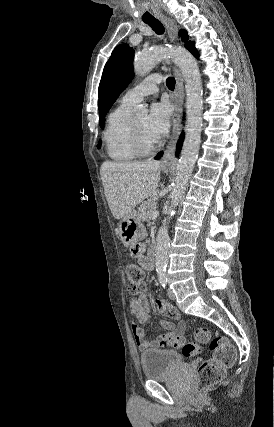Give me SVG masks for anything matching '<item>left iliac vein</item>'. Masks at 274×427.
Instances as JSON below:
<instances>
[{
  "label": "left iliac vein",
  "instance_id": "1",
  "mask_svg": "<svg viewBox=\"0 0 274 427\" xmlns=\"http://www.w3.org/2000/svg\"><path fill=\"white\" fill-rule=\"evenodd\" d=\"M168 296L170 299H175V294L171 288L168 289Z\"/></svg>",
  "mask_w": 274,
  "mask_h": 427
}]
</instances>
